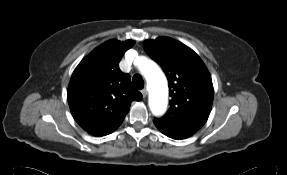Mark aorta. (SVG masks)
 <instances>
[{
  "instance_id": "aorta-1",
  "label": "aorta",
  "mask_w": 287,
  "mask_h": 175,
  "mask_svg": "<svg viewBox=\"0 0 287 175\" xmlns=\"http://www.w3.org/2000/svg\"><path fill=\"white\" fill-rule=\"evenodd\" d=\"M141 74L149 87V108L154 116H161L168 105L167 79L159 66L147 58H141L138 64Z\"/></svg>"
}]
</instances>
